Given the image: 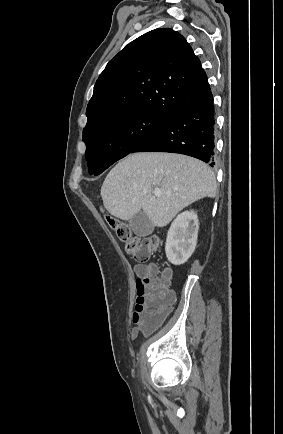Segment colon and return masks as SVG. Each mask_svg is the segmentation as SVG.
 Returning <instances> with one entry per match:
<instances>
[{
    "mask_svg": "<svg viewBox=\"0 0 283 434\" xmlns=\"http://www.w3.org/2000/svg\"><path fill=\"white\" fill-rule=\"evenodd\" d=\"M105 219L125 250L136 261L147 262L157 248V239L153 236L134 234L122 220L106 215ZM170 272L165 270L153 276L136 280L137 298L133 312V323L143 333L157 329L165 320L174 302V294L169 290Z\"/></svg>",
    "mask_w": 283,
    "mask_h": 434,
    "instance_id": "obj_1",
    "label": "colon"
}]
</instances>
